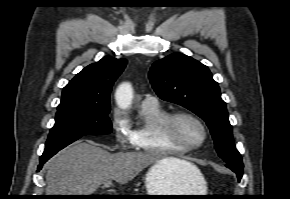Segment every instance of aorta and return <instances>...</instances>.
Here are the masks:
<instances>
[{"mask_svg":"<svg viewBox=\"0 0 290 199\" xmlns=\"http://www.w3.org/2000/svg\"><path fill=\"white\" fill-rule=\"evenodd\" d=\"M115 98L117 105L120 108H129L133 99V90L131 85L129 83L121 84L116 91Z\"/></svg>","mask_w":290,"mask_h":199,"instance_id":"obj_1","label":"aorta"}]
</instances>
